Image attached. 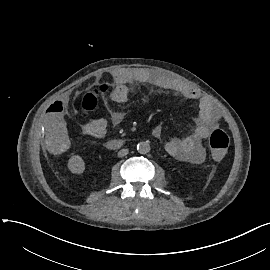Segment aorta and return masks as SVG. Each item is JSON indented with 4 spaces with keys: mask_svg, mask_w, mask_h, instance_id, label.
<instances>
[{
    "mask_svg": "<svg viewBox=\"0 0 270 270\" xmlns=\"http://www.w3.org/2000/svg\"><path fill=\"white\" fill-rule=\"evenodd\" d=\"M150 144L148 142H139L137 144V151L140 154H147L150 151Z\"/></svg>",
    "mask_w": 270,
    "mask_h": 270,
    "instance_id": "aorta-1",
    "label": "aorta"
}]
</instances>
